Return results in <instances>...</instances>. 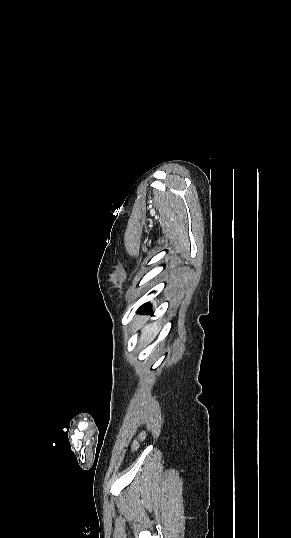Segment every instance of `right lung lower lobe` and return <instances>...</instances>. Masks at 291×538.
<instances>
[{"label":"right lung lower lobe","instance_id":"98d812e1","mask_svg":"<svg viewBox=\"0 0 291 538\" xmlns=\"http://www.w3.org/2000/svg\"><path fill=\"white\" fill-rule=\"evenodd\" d=\"M139 310H140L141 312H144V311H145V312H147V311L149 312V311H150V305H149L148 303L143 304V305L139 308Z\"/></svg>","mask_w":291,"mask_h":538}]
</instances>
